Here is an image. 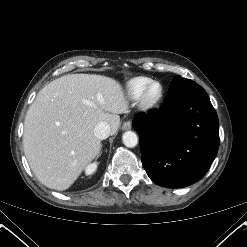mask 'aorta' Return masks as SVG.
<instances>
[{
  "mask_svg": "<svg viewBox=\"0 0 247 247\" xmlns=\"http://www.w3.org/2000/svg\"><path fill=\"white\" fill-rule=\"evenodd\" d=\"M122 140L125 146L135 147L138 144V137L133 131H126L123 133Z\"/></svg>",
  "mask_w": 247,
  "mask_h": 247,
  "instance_id": "obj_1",
  "label": "aorta"
}]
</instances>
